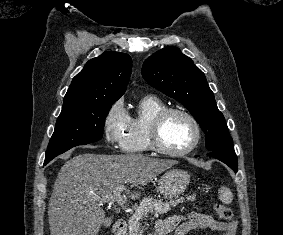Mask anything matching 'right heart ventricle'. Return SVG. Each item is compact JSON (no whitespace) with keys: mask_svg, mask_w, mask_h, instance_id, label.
<instances>
[{"mask_svg":"<svg viewBox=\"0 0 283 235\" xmlns=\"http://www.w3.org/2000/svg\"><path fill=\"white\" fill-rule=\"evenodd\" d=\"M167 108L156 96L141 98L135 111L128 116V125L122 136V149L127 153H146L151 151L149 145V128L155 116Z\"/></svg>","mask_w":283,"mask_h":235,"instance_id":"right-heart-ventricle-1","label":"right heart ventricle"}]
</instances>
